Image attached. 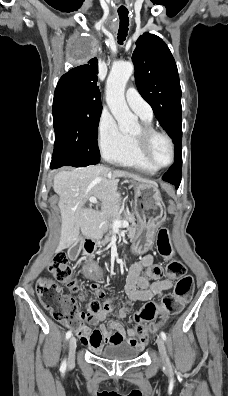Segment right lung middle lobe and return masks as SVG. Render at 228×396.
Wrapping results in <instances>:
<instances>
[{"label":"right lung middle lobe","instance_id":"dd1d6c3e","mask_svg":"<svg viewBox=\"0 0 228 396\" xmlns=\"http://www.w3.org/2000/svg\"><path fill=\"white\" fill-rule=\"evenodd\" d=\"M80 58L91 55L87 43L81 44ZM101 102L86 101L74 92L56 89L53 100L55 143L53 161L63 166L85 167L100 161L97 131Z\"/></svg>","mask_w":228,"mask_h":396}]
</instances>
